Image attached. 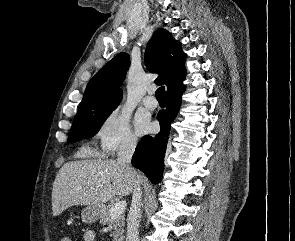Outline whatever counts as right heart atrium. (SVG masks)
Segmentation results:
<instances>
[{
    "mask_svg": "<svg viewBox=\"0 0 295 241\" xmlns=\"http://www.w3.org/2000/svg\"><path fill=\"white\" fill-rule=\"evenodd\" d=\"M95 138L103 154L113 155L119 149L132 148L136 137L130 127L128 116L119 108L107 113L95 130Z\"/></svg>",
    "mask_w": 295,
    "mask_h": 241,
    "instance_id": "right-heart-atrium-1",
    "label": "right heart atrium"
}]
</instances>
